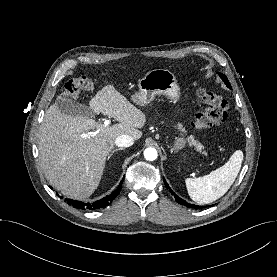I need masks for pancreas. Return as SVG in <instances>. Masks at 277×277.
Instances as JSON below:
<instances>
[{
    "label": "pancreas",
    "mask_w": 277,
    "mask_h": 277,
    "mask_svg": "<svg viewBox=\"0 0 277 277\" xmlns=\"http://www.w3.org/2000/svg\"><path fill=\"white\" fill-rule=\"evenodd\" d=\"M178 128H180V126H179ZM184 132H185V131H184ZM189 139H190V141H191V144H193L194 146H196V148H197L198 151H201V150L203 149V146H202L198 141H196V140L194 139V137L191 136Z\"/></svg>",
    "instance_id": "pancreas-1"
}]
</instances>
